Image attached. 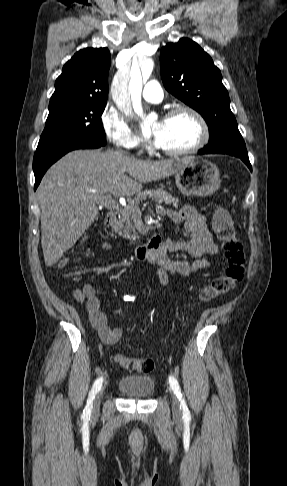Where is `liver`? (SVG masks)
Returning <instances> with one entry per match:
<instances>
[{
	"label": "liver",
	"mask_w": 287,
	"mask_h": 486,
	"mask_svg": "<svg viewBox=\"0 0 287 486\" xmlns=\"http://www.w3.org/2000/svg\"><path fill=\"white\" fill-rule=\"evenodd\" d=\"M190 159L145 161L112 150L66 154L49 168L37 189L46 266L56 264L94 222L97 199L109 193L132 196L142 183L175 174Z\"/></svg>",
	"instance_id": "6515ba94"
}]
</instances>
